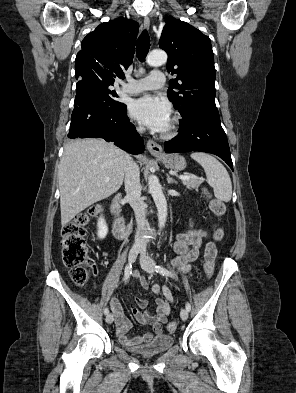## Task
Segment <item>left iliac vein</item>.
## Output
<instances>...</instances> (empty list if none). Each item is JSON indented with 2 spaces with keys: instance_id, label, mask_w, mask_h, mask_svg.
Returning a JSON list of instances; mask_svg holds the SVG:
<instances>
[{
  "instance_id": "obj_1",
  "label": "left iliac vein",
  "mask_w": 296,
  "mask_h": 393,
  "mask_svg": "<svg viewBox=\"0 0 296 393\" xmlns=\"http://www.w3.org/2000/svg\"><path fill=\"white\" fill-rule=\"evenodd\" d=\"M140 264L142 269L145 270L146 272L154 273L155 262L149 256L142 254L140 257ZM180 317L183 321H186L188 319V310L184 308L181 309Z\"/></svg>"
}]
</instances>
